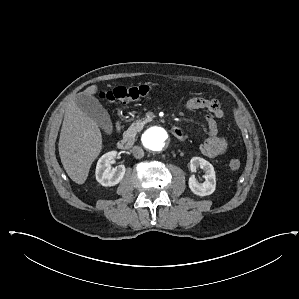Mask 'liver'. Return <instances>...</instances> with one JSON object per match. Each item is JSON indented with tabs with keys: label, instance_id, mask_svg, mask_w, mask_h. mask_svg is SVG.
I'll use <instances>...</instances> for the list:
<instances>
[{
	"label": "liver",
	"instance_id": "1",
	"mask_svg": "<svg viewBox=\"0 0 299 299\" xmlns=\"http://www.w3.org/2000/svg\"><path fill=\"white\" fill-rule=\"evenodd\" d=\"M96 85L82 93L95 94ZM59 155L63 167L77 184L85 183L90 167L102 150V134L98 124L72 100L66 111L59 138Z\"/></svg>",
	"mask_w": 299,
	"mask_h": 299
}]
</instances>
